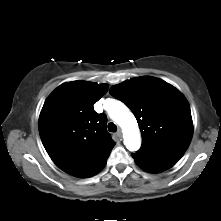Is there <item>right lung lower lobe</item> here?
I'll list each match as a JSON object with an SVG mask.
<instances>
[{
	"mask_svg": "<svg viewBox=\"0 0 221 221\" xmlns=\"http://www.w3.org/2000/svg\"><path fill=\"white\" fill-rule=\"evenodd\" d=\"M105 164H106V161L104 163H102L101 165H99L97 168H95L91 171L82 173L76 177L86 178V177L94 176L95 174H97L98 172H100L104 168Z\"/></svg>",
	"mask_w": 221,
	"mask_h": 221,
	"instance_id": "98d812e1",
	"label": "right lung lower lobe"
}]
</instances>
